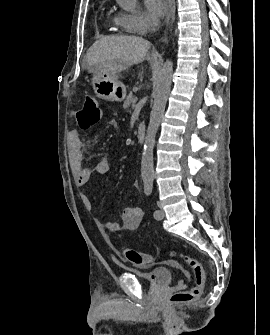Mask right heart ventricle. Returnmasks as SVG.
<instances>
[{"mask_svg": "<svg viewBox=\"0 0 270 335\" xmlns=\"http://www.w3.org/2000/svg\"><path fill=\"white\" fill-rule=\"evenodd\" d=\"M112 25L114 27H116L117 29H120V30H128L127 26L125 25L122 17H121V14H115L113 17H112ZM158 78H169V77H158Z\"/></svg>", "mask_w": 270, "mask_h": 335, "instance_id": "right-heart-ventricle-1", "label": "right heart ventricle"}]
</instances>
